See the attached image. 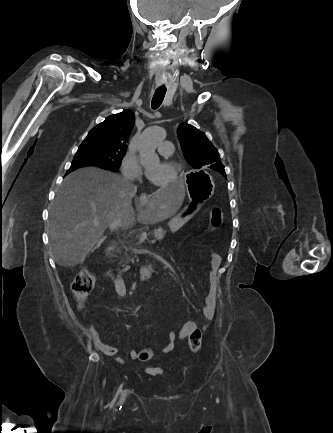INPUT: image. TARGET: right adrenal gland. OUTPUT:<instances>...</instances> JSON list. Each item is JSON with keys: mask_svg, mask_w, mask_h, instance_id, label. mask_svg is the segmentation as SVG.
<instances>
[{"mask_svg": "<svg viewBox=\"0 0 333 433\" xmlns=\"http://www.w3.org/2000/svg\"><path fill=\"white\" fill-rule=\"evenodd\" d=\"M106 237H103L101 241H104ZM100 246V243H98L91 251L93 252L96 248Z\"/></svg>", "mask_w": 333, "mask_h": 433, "instance_id": "1", "label": "right adrenal gland"}]
</instances>
